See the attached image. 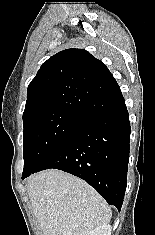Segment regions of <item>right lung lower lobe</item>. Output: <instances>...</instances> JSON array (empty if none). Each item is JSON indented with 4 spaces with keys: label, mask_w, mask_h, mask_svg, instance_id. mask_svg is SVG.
<instances>
[{
    "label": "right lung lower lobe",
    "mask_w": 155,
    "mask_h": 235,
    "mask_svg": "<svg viewBox=\"0 0 155 235\" xmlns=\"http://www.w3.org/2000/svg\"><path fill=\"white\" fill-rule=\"evenodd\" d=\"M85 95L96 118L77 130L37 169L55 168L78 176L110 205L121 209L127 185L130 122L115 79L89 87Z\"/></svg>",
    "instance_id": "obj_1"
}]
</instances>
